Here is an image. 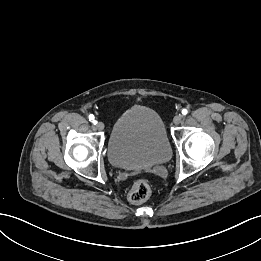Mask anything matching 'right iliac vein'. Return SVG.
Listing matches in <instances>:
<instances>
[{
  "label": "right iliac vein",
  "instance_id": "obj_1",
  "mask_svg": "<svg viewBox=\"0 0 261 261\" xmlns=\"http://www.w3.org/2000/svg\"><path fill=\"white\" fill-rule=\"evenodd\" d=\"M95 127L99 130V131H101V130H103L104 129V123L103 122H97L96 124H95Z\"/></svg>",
  "mask_w": 261,
  "mask_h": 261
}]
</instances>
